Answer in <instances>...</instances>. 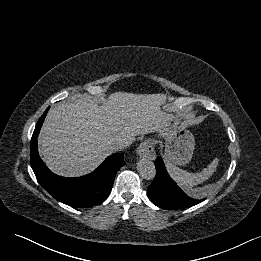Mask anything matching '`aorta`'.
I'll return each mask as SVG.
<instances>
[{"mask_svg": "<svg viewBox=\"0 0 261 261\" xmlns=\"http://www.w3.org/2000/svg\"><path fill=\"white\" fill-rule=\"evenodd\" d=\"M137 170L140 176L146 180L154 179L156 174L154 163L148 159L139 160L137 163Z\"/></svg>", "mask_w": 261, "mask_h": 261, "instance_id": "1", "label": "aorta"}]
</instances>
